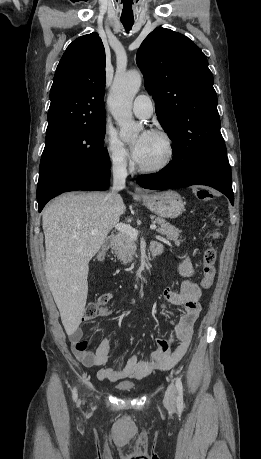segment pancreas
<instances>
[{
    "label": "pancreas",
    "mask_w": 261,
    "mask_h": 459,
    "mask_svg": "<svg viewBox=\"0 0 261 459\" xmlns=\"http://www.w3.org/2000/svg\"><path fill=\"white\" fill-rule=\"evenodd\" d=\"M160 227L157 229L158 233L165 235L168 240H172L176 245H180L182 240L181 231L166 222L165 219L161 217H156L154 220ZM112 253L117 256V258L123 263L127 264L132 261L134 254V240L128 234L119 232L114 240L112 245Z\"/></svg>",
    "instance_id": "1"
}]
</instances>
